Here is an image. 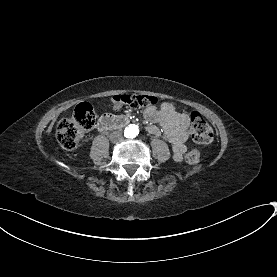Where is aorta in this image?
Masks as SVG:
<instances>
[{
  "mask_svg": "<svg viewBox=\"0 0 277 277\" xmlns=\"http://www.w3.org/2000/svg\"><path fill=\"white\" fill-rule=\"evenodd\" d=\"M139 134V127L135 124H130L125 128V136L127 138H134Z\"/></svg>",
  "mask_w": 277,
  "mask_h": 277,
  "instance_id": "obj_1",
  "label": "aorta"
}]
</instances>
